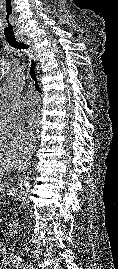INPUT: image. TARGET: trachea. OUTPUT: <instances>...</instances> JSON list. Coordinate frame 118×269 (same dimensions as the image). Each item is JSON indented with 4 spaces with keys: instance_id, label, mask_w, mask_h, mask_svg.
I'll use <instances>...</instances> for the list:
<instances>
[{
    "instance_id": "1",
    "label": "trachea",
    "mask_w": 118,
    "mask_h": 269,
    "mask_svg": "<svg viewBox=\"0 0 118 269\" xmlns=\"http://www.w3.org/2000/svg\"><path fill=\"white\" fill-rule=\"evenodd\" d=\"M8 44L16 49H29V46L23 42H18L16 39H7ZM30 76L35 82V88L39 93H42L41 88L38 83L37 74H36V62L34 59L31 60V67H30Z\"/></svg>"
}]
</instances>
